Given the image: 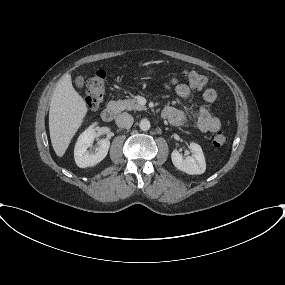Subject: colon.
Here are the masks:
<instances>
[{
  "instance_id": "obj_1",
  "label": "colon",
  "mask_w": 285,
  "mask_h": 285,
  "mask_svg": "<svg viewBox=\"0 0 285 285\" xmlns=\"http://www.w3.org/2000/svg\"><path fill=\"white\" fill-rule=\"evenodd\" d=\"M182 76L187 79L190 85L196 89L210 85L211 80L208 76L196 71L184 70ZM106 73L103 70L96 71L87 81L85 91V101L90 108H97L101 105L105 95ZM228 141L227 136L219 131L213 137V145L221 147Z\"/></svg>"
}]
</instances>
